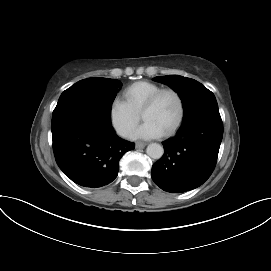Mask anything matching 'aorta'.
<instances>
[{
    "instance_id": "762f6f07",
    "label": "aorta",
    "mask_w": 271,
    "mask_h": 271,
    "mask_svg": "<svg viewBox=\"0 0 271 271\" xmlns=\"http://www.w3.org/2000/svg\"><path fill=\"white\" fill-rule=\"evenodd\" d=\"M146 153L153 159H160L163 156L164 149L158 143H151L147 146Z\"/></svg>"
}]
</instances>
